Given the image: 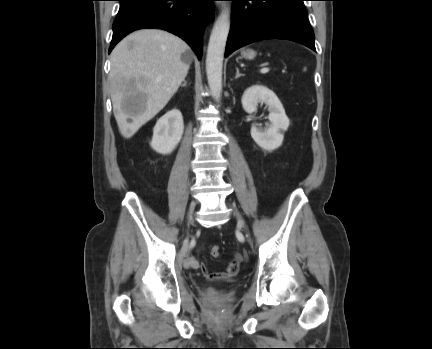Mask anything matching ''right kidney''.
Segmentation results:
<instances>
[{
  "instance_id": "ca27d5eb",
  "label": "right kidney",
  "mask_w": 432,
  "mask_h": 349,
  "mask_svg": "<svg viewBox=\"0 0 432 349\" xmlns=\"http://www.w3.org/2000/svg\"><path fill=\"white\" fill-rule=\"evenodd\" d=\"M184 123L181 112L172 109L158 119L151 141L153 150L160 154H170L181 141Z\"/></svg>"
}]
</instances>
